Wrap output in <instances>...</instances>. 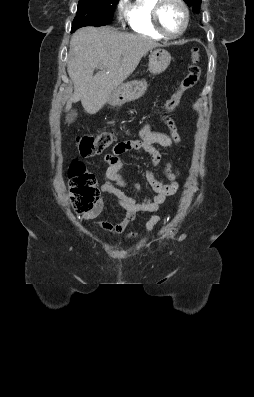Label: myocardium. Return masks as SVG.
Listing matches in <instances>:
<instances>
[{
	"instance_id": "obj_1",
	"label": "myocardium",
	"mask_w": 254,
	"mask_h": 397,
	"mask_svg": "<svg viewBox=\"0 0 254 397\" xmlns=\"http://www.w3.org/2000/svg\"><path fill=\"white\" fill-rule=\"evenodd\" d=\"M168 1H173L177 3L183 11V24L179 32L176 34H170L168 33L162 26L161 19H160V14L162 7L164 4ZM152 18H153V24L155 29L164 37L167 39H177L181 37L185 31L188 28L189 25V20H190V14H189V9L186 3L183 0H157L156 4L154 5L153 8V13H152Z\"/></svg>"
}]
</instances>
